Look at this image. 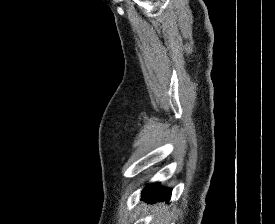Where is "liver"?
<instances>
[{
  "label": "liver",
  "mask_w": 275,
  "mask_h": 224,
  "mask_svg": "<svg viewBox=\"0 0 275 224\" xmlns=\"http://www.w3.org/2000/svg\"><path fill=\"white\" fill-rule=\"evenodd\" d=\"M155 209H158V206H157V205L155 206Z\"/></svg>",
  "instance_id": "6515ba94"
}]
</instances>
